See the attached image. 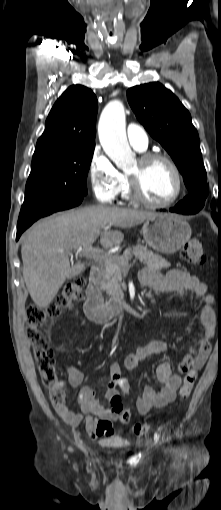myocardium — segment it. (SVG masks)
<instances>
[{"label":"myocardium","mask_w":221,"mask_h":510,"mask_svg":"<svg viewBox=\"0 0 221 510\" xmlns=\"http://www.w3.org/2000/svg\"><path fill=\"white\" fill-rule=\"evenodd\" d=\"M139 164L141 166H146L154 161H163L169 165V167L172 169L177 182V188L175 194L167 201L157 202L147 199L140 188V178L138 175H132L127 174V181H128V189H129V196L136 202L149 206L154 208H166L174 203H176L182 196L185 188L183 175L178 167V165L175 163V161L162 153L158 152H147L143 153L139 159Z\"/></svg>","instance_id":"obj_1"}]
</instances>
